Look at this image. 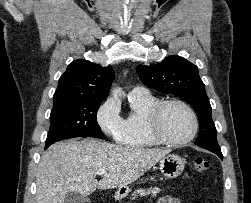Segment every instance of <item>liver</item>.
I'll list each match as a JSON object with an SVG mask.
<instances>
[{
    "mask_svg": "<svg viewBox=\"0 0 251 203\" xmlns=\"http://www.w3.org/2000/svg\"><path fill=\"white\" fill-rule=\"evenodd\" d=\"M170 150L129 148L96 139L61 141L41 157L36 178V203H64L69 192L88 196L131 184ZM107 172L99 182L96 172Z\"/></svg>",
    "mask_w": 251,
    "mask_h": 203,
    "instance_id": "1",
    "label": "liver"
}]
</instances>
